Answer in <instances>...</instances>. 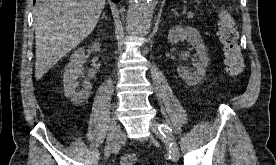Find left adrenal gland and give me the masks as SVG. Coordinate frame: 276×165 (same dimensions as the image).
<instances>
[{"instance_id": "a2214340", "label": "left adrenal gland", "mask_w": 276, "mask_h": 165, "mask_svg": "<svg viewBox=\"0 0 276 165\" xmlns=\"http://www.w3.org/2000/svg\"><path fill=\"white\" fill-rule=\"evenodd\" d=\"M172 11H174V14H175V15H177V11H176V9H173Z\"/></svg>"}]
</instances>
